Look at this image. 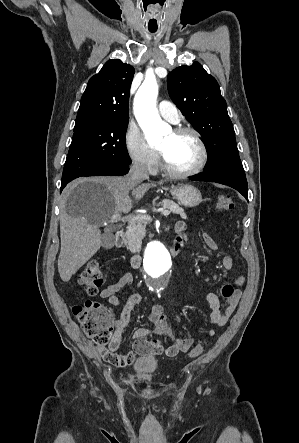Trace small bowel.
Masks as SVG:
<instances>
[{
	"mask_svg": "<svg viewBox=\"0 0 299 443\" xmlns=\"http://www.w3.org/2000/svg\"><path fill=\"white\" fill-rule=\"evenodd\" d=\"M187 226L183 221H179L175 225V231L177 233L176 242L182 245L185 242ZM206 246L210 250H216L218 248L214 238L207 232L202 235ZM222 267L225 270H231L233 268V260L230 256L225 255L222 258ZM134 280V276L131 273H126L120 277V279L112 284L106 286L101 292L100 297L106 299L112 306H119L121 304L118 293L125 287L129 286ZM246 277L244 275L239 276L233 284H225L221 288V296L225 300L224 309L221 310V304L219 298L214 293L207 295V301L211 308L210 322L213 326H224L227 324L229 318L235 311L239 300L241 298L240 287L245 283ZM142 301V295L139 293H133L129 296L128 300L123 306L120 316L116 323L114 336L109 344L105 359L115 366H127L131 364L137 355H145L149 353L163 352L167 356H176L178 353L187 352L194 344V339L182 335L179 338H174L171 332V328L168 324L166 315L162 305L156 304L151 307L149 320L152 324L150 328H137L134 333V345L133 350L124 353H117L120 346L122 335L125 328L128 326L131 314L134 308ZM176 320L180 321L181 317L178 313L174 314ZM209 336L215 335V330L211 327L207 330ZM163 339L170 341L169 345H165Z\"/></svg>",
	"mask_w": 299,
	"mask_h": 443,
	"instance_id": "small-bowel-1",
	"label": "small bowel"
}]
</instances>
